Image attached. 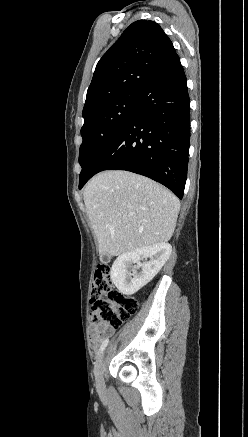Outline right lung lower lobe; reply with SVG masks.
I'll return each instance as SVG.
<instances>
[{
    "instance_id": "obj_1",
    "label": "right lung lower lobe",
    "mask_w": 248,
    "mask_h": 437,
    "mask_svg": "<svg viewBox=\"0 0 248 437\" xmlns=\"http://www.w3.org/2000/svg\"><path fill=\"white\" fill-rule=\"evenodd\" d=\"M190 140V99L179 57L138 94L133 110L93 160L79 188L103 170H127L184 194Z\"/></svg>"
}]
</instances>
